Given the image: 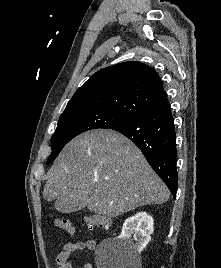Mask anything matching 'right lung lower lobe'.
Segmentation results:
<instances>
[{
  "instance_id": "right-lung-lower-lobe-1",
  "label": "right lung lower lobe",
  "mask_w": 221,
  "mask_h": 268,
  "mask_svg": "<svg viewBox=\"0 0 221 268\" xmlns=\"http://www.w3.org/2000/svg\"><path fill=\"white\" fill-rule=\"evenodd\" d=\"M111 129L137 145L175 198L178 186L176 133L170 106L124 121Z\"/></svg>"
}]
</instances>
